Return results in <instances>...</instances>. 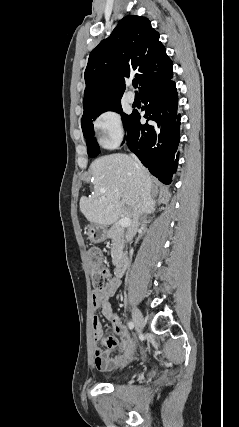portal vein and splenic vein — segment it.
<instances>
[{
	"label": "portal vein and splenic vein",
	"mask_w": 239,
	"mask_h": 427,
	"mask_svg": "<svg viewBox=\"0 0 239 427\" xmlns=\"http://www.w3.org/2000/svg\"><path fill=\"white\" fill-rule=\"evenodd\" d=\"M131 224V219L128 217L121 218L118 221V225L121 227H128Z\"/></svg>",
	"instance_id": "portal-vein-and-splenic-vein-1"
}]
</instances>
